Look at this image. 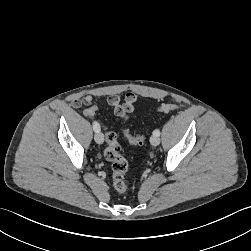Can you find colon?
<instances>
[{"label":"colon","instance_id":"1","mask_svg":"<svg viewBox=\"0 0 251 251\" xmlns=\"http://www.w3.org/2000/svg\"><path fill=\"white\" fill-rule=\"evenodd\" d=\"M178 108L175 103H164L160 105L158 111L170 112ZM83 118H89L91 123L97 122L94 107H88L82 112ZM99 128L105 127L104 121L98 122ZM123 135L126 140L133 145H142L146 141L144 134H132L128 129H123ZM107 146L104 150L105 158L111 163L113 188L119 194H124L128 187L124 180V175L128 169V162L121 154V148L114 132L109 131L105 135Z\"/></svg>","mask_w":251,"mask_h":251}]
</instances>
